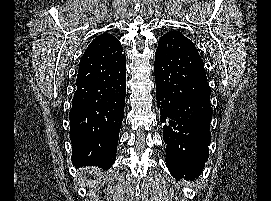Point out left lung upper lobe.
I'll return each instance as SVG.
<instances>
[{"instance_id": "obj_1", "label": "left lung upper lobe", "mask_w": 271, "mask_h": 201, "mask_svg": "<svg viewBox=\"0 0 271 201\" xmlns=\"http://www.w3.org/2000/svg\"><path fill=\"white\" fill-rule=\"evenodd\" d=\"M176 33L177 31H170V32H167L165 35H163L161 38L172 37Z\"/></svg>"}]
</instances>
